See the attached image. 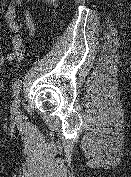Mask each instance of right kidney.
Here are the masks:
<instances>
[{
  "instance_id": "1",
  "label": "right kidney",
  "mask_w": 131,
  "mask_h": 177,
  "mask_svg": "<svg viewBox=\"0 0 131 177\" xmlns=\"http://www.w3.org/2000/svg\"><path fill=\"white\" fill-rule=\"evenodd\" d=\"M48 4H50V3H54V2H56V1H58V0H45Z\"/></svg>"
}]
</instances>
